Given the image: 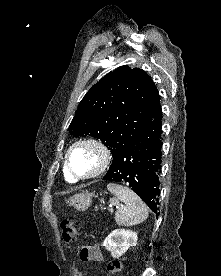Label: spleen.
I'll return each instance as SVG.
<instances>
[{"label":"spleen","instance_id":"spleen-1","mask_svg":"<svg viewBox=\"0 0 221 276\" xmlns=\"http://www.w3.org/2000/svg\"><path fill=\"white\" fill-rule=\"evenodd\" d=\"M107 189L125 204L115 213V221L118 225L133 226L147 219V206L131 189L115 183H109Z\"/></svg>","mask_w":221,"mask_h":276}]
</instances>
